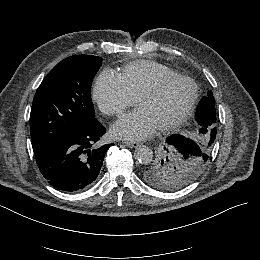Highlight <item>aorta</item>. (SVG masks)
I'll return each mask as SVG.
<instances>
[{"instance_id": "1", "label": "aorta", "mask_w": 260, "mask_h": 260, "mask_svg": "<svg viewBox=\"0 0 260 260\" xmlns=\"http://www.w3.org/2000/svg\"><path fill=\"white\" fill-rule=\"evenodd\" d=\"M135 158L141 164L146 165L153 159V152L146 146H141L135 150Z\"/></svg>"}]
</instances>
